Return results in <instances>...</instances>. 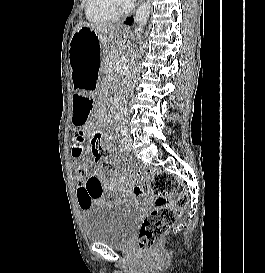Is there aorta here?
Returning a JSON list of instances; mask_svg holds the SVG:
<instances>
[{
    "instance_id": "aorta-1",
    "label": "aorta",
    "mask_w": 265,
    "mask_h": 273,
    "mask_svg": "<svg viewBox=\"0 0 265 273\" xmlns=\"http://www.w3.org/2000/svg\"><path fill=\"white\" fill-rule=\"evenodd\" d=\"M150 12H151V5L149 3H145V2L142 3L136 11V15H135L134 20H135L137 27H138L139 37L144 31L145 25H146L148 18L150 16ZM137 56H138V52L136 50V51H134L133 56L130 61L131 69L135 65V60H136Z\"/></svg>"
}]
</instances>
